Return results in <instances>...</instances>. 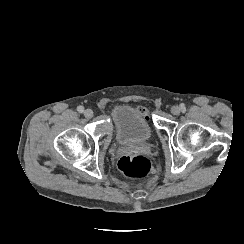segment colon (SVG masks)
<instances>
[{"mask_svg":"<svg viewBox=\"0 0 244 244\" xmlns=\"http://www.w3.org/2000/svg\"><path fill=\"white\" fill-rule=\"evenodd\" d=\"M151 161L144 155H125L119 160V169L131 177H145L151 171Z\"/></svg>","mask_w":244,"mask_h":244,"instance_id":"obj_1","label":"colon"}]
</instances>
